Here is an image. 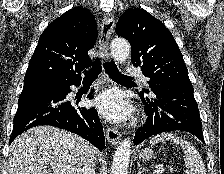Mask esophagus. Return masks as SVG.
Returning a JSON list of instances; mask_svg holds the SVG:
<instances>
[{
    "instance_id": "34e87169",
    "label": "esophagus",
    "mask_w": 224,
    "mask_h": 174,
    "mask_svg": "<svg viewBox=\"0 0 224 174\" xmlns=\"http://www.w3.org/2000/svg\"><path fill=\"white\" fill-rule=\"evenodd\" d=\"M115 25L112 14H106L102 20L99 34V50L106 61H110L109 40ZM106 135L112 145H116L120 140V133L115 128L107 127Z\"/></svg>"
}]
</instances>
